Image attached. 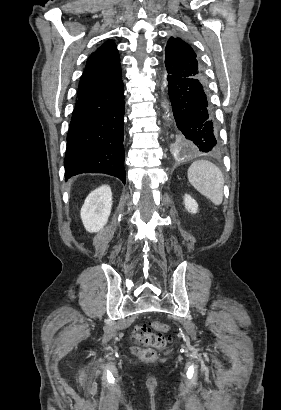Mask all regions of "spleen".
Instances as JSON below:
<instances>
[{"mask_svg": "<svg viewBox=\"0 0 281 410\" xmlns=\"http://www.w3.org/2000/svg\"><path fill=\"white\" fill-rule=\"evenodd\" d=\"M188 179L193 187L215 205L223 201L224 177L221 170L207 160H197L188 169Z\"/></svg>", "mask_w": 281, "mask_h": 410, "instance_id": "3e777b00", "label": "spleen"}]
</instances>
